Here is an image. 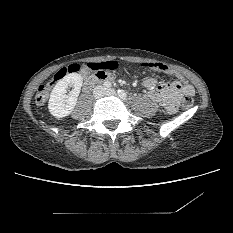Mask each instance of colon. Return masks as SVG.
Returning a JSON list of instances; mask_svg holds the SVG:
<instances>
[{
  "mask_svg": "<svg viewBox=\"0 0 233 233\" xmlns=\"http://www.w3.org/2000/svg\"><path fill=\"white\" fill-rule=\"evenodd\" d=\"M143 68H149L154 71L163 72L174 75L173 70L165 63L160 61L144 62L140 64ZM82 70V65L79 63L70 64L69 66L59 69L54 75L50 82L39 86L35 95V101L38 104L44 103L48 96L51 88L58 82L62 81L67 75L77 73ZM193 107V98L190 95H185L182 100V108L185 111H190Z\"/></svg>",
  "mask_w": 233,
  "mask_h": 233,
  "instance_id": "obj_1",
  "label": "colon"
}]
</instances>
